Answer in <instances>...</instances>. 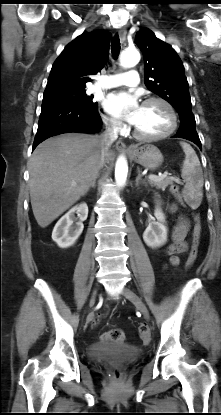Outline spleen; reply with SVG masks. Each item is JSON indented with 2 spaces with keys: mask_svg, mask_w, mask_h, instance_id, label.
Returning <instances> with one entry per match:
<instances>
[{
  "mask_svg": "<svg viewBox=\"0 0 221 415\" xmlns=\"http://www.w3.org/2000/svg\"><path fill=\"white\" fill-rule=\"evenodd\" d=\"M185 153V160L181 169V176L185 181L183 197L192 208H198L203 198V173L200 161L194 149L185 142H180Z\"/></svg>",
  "mask_w": 221,
  "mask_h": 415,
  "instance_id": "obj_1",
  "label": "spleen"
}]
</instances>
